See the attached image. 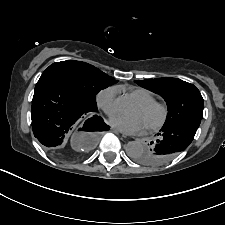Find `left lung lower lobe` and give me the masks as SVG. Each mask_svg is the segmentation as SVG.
I'll list each match as a JSON object with an SVG mask.
<instances>
[{
    "label": "left lung lower lobe",
    "mask_w": 225,
    "mask_h": 225,
    "mask_svg": "<svg viewBox=\"0 0 225 225\" xmlns=\"http://www.w3.org/2000/svg\"><path fill=\"white\" fill-rule=\"evenodd\" d=\"M201 119L189 118L169 127L161 128L159 138L153 144L146 165L159 166L172 160L192 142Z\"/></svg>",
    "instance_id": "1"
}]
</instances>
